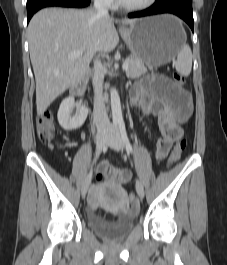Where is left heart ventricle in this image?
<instances>
[{
	"label": "left heart ventricle",
	"instance_id": "left-heart-ventricle-1",
	"mask_svg": "<svg viewBox=\"0 0 227 265\" xmlns=\"http://www.w3.org/2000/svg\"><path fill=\"white\" fill-rule=\"evenodd\" d=\"M122 1L128 5H139V4L144 3L147 0H122Z\"/></svg>",
	"mask_w": 227,
	"mask_h": 265
}]
</instances>
